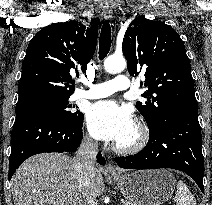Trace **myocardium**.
Returning a JSON list of instances; mask_svg holds the SVG:
<instances>
[{
	"instance_id": "f54148a6",
	"label": "myocardium",
	"mask_w": 212,
	"mask_h": 205,
	"mask_svg": "<svg viewBox=\"0 0 212 205\" xmlns=\"http://www.w3.org/2000/svg\"><path fill=\"white\" fill-rule=\"evenodd\" d=\"M136 128V138L133 142L129 144H119L116 143L114 146L115 151L122 154H135L143 150L149 140H150V131L147 124L142 120H137L135 122Z\"/></svg>"
}]
</instances>
